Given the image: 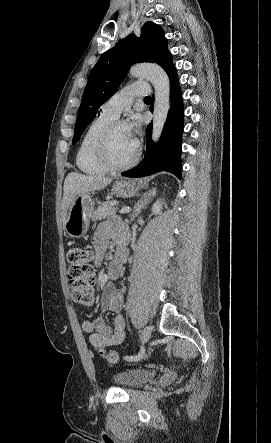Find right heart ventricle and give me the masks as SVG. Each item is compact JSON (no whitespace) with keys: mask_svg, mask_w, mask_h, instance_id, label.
<instances>
[{"mask_svg":"<svg viewBox=\"0 0 271 443\" xmlns=\"http://www.w3.org/2000/svg\"><path fill=\"white\" fill-rule=\"evenodd\" d=\"M114 119L115 117L99 114L87 126L75 155L76 166L81 172L99 176L108 171L99 159L97 144L106 126Z\"/></svg>","mask_w":271,"mask_h":443,"instance_id":"right-heart-ventricle-1","label":"right heart ventricle"}]
</instances>
